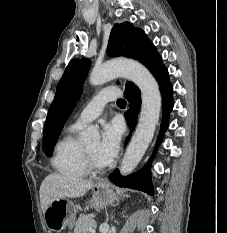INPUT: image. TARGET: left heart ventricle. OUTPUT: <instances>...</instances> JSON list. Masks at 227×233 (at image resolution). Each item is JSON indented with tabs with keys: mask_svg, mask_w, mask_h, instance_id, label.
Here are the masks:
<instances>
[{
	"mask_svg": "<svg viewBox=\"0 0 227 233\" xmlns=\"http://www.w3.org/2000/svg\"><path fill=\"white\" fill-rule=\"evenodd\" d=\"M99 144L95 143L90 146L86 147V150L90 153V155L95 159V161L99 164H103L97 157V151H98Z\"/></svg>",
	"mask_w": 227,
	"mask_h": 233,
	"instance_id": "left-heart-ventricle-1",
	"label": "left heart ventricle"
}]
</instances>
